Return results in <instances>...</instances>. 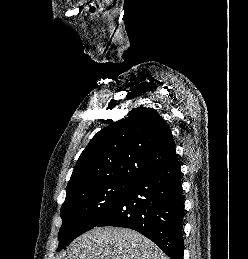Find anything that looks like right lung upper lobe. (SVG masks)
<instances>
[{
	"label": "right lung upper lobe",
	"mask_w": 248,
	"mask_h": 259,
	"mask_svg": "<svg viewBox=\"0 0 248 259\" xmlns=\"http://www.w3.org/2000/svg\"><path fill=\"white\" fill-rule=\"evenodd\" d=\"M176 160L173 136L165 120L155 109L138 107L92 138L66 190L112 180L132 182Z\"/></svg>",
	"instance_id": "cb5924a9"
}]
</instances>
